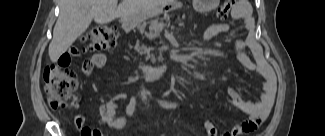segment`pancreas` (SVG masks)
<instances>
[{"instance_id": "cf45deb5", "label": "pancreas", "mask_w": 325, "mask_h": 136, "mask_svg": "<svg viewBox=\"0 0 325 136\" xmlns=\"http://www.w3.org/2000/svg\"><path fill=\"white\" fill-rule=\"evenodd\" d=\"M166 23L167 24H178V22H179V19H180V22H183V19H185L186 18V13L185 12H167V14H166ZM157 21L159 22V20L157 19ZM161 23H163L164 21L163 20H161L160 21ZM150 24H152V22L150 21L149 22V25ZM139 27V33H141V34H144L143 36H144V38H152L153 36H155V34L153 33V32H149V33H147V29H148V23H144L142 26H138Z\"/></svg>"}]
</instances>
